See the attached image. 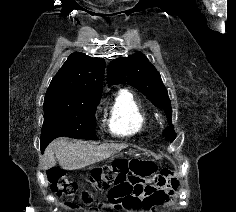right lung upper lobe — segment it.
<instances>
[{"label":"right lung upper lobe","instance_id":"right-lung-upper-lobe-1","mask_svg":"<svg viewBox=\"0 0 236 212\" xmlns=\"http://www.w3.org/2000/svg\"><path fill=\"white\" fill-rule=\"evenodd\" d=\"M105 61L72 53L53 77L44 101H84L100 98Z\"/></svg>","mask_w":236,"mask_h":212}]
</instances>
